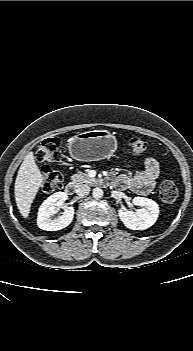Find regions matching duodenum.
Returning a JSON list of instances; mask_svg holds the SVG:
<instances>
[{"instance_id": "obj_1", "label": "duodenum", "mask_w": 193, "mask_h": 351, "mask_svg": "<svg viewBox=\"0 0 193 351\" xmlns=\"http://www.w3.org/2000/svg\"><path fill=\"white\" fill-rule=\"evenodd\" d=\"M105 183L109 182V180H105L104 181ZM74 190H75V184L70 181L66 184V191L68 194H73L74 193Z\"/></svg>"}]
</instances>
